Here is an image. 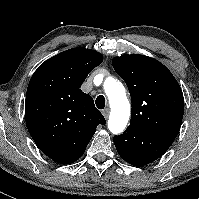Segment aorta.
<instances>
[{
	"label": "aorta",
	"mask_w": 199,
	"mask_h": 199,
	"mask_svg": "<svg viewBox=\"0 0 199 199\" xmlns=\"http://www.w3.org/2000/svg\"><path fill=\"white\" fill-rule=\"evenodd\" d=\"M104 90L111 107L108 128L113 134L117 135L123 132L128 123L130 104L124 86L113 77L106 78Z\"/></svg>",
	"instance_id": "obj_1"
}]
</instances>
